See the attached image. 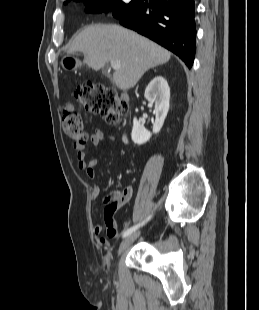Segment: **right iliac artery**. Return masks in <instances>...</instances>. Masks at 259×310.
<instances>
[{"label": "right iliac artery", "instance_id": "1", "mask_svg": "<svg viewBox=\"0 0 259 310\" xmlns=\"http://www.w3.org/2000/svg\"><path fill=\"white\" fill-rule=\"evenodd\" d=\"M151 218V216H149L145 221L127 229L124 233H123V238L129 236L131 233H133L134 231H136L141 225H143L146 221H148Z\"/></svg>", "mask_w": 259, "mask_h": 310}]
</instances>
